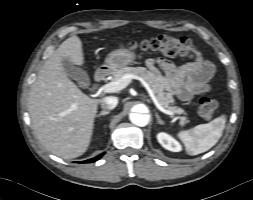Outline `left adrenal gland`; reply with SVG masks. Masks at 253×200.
<instances>
[{
	"mask_svg": "<svg viewBox=\"0 0 253 200\" xmlns=\"http://www.w3.org/2000/svg\"><path fill=\"white\" fill-rule=\"evenodd\" d=\"M155 116H156L157 122H158L159 124H163V123H164V121L160 118V116H159L158 114H155Z\"/></svg>",
	"mask_w": 253,
	"mask_h": 200,
	"instance_id": "left-adrenal-gland-1",
	"label": "left adrenal gland"
}]
</instances>
